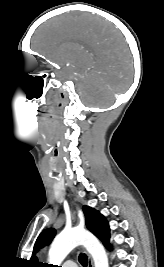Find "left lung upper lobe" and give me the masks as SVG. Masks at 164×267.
Returning <instances> with one entry per match:
<instances>
[{
  "label": "left lung upper lobe",
  "mask_w": 164,
  "mask_h": 267,
  "mask_svg": "<svg viewBox=\"0 0 164 267\" xmlns=\"http://www.w3.org/2000/svg\"><path fill=\"white\" fill-rule=\"evenodd\" d=\"M85 221L87 228L101 241L105 240L110 235L109 225L107 220L99 211L88 206H83ZM56 234L55 229L49 228L44 230L36 240L33 255L39 248L49 244ZM39 267H47V264L39 263Z\"/></svg>",
  "instance_id": "left-lung-upper-lobe-1"
}]
</instances>
